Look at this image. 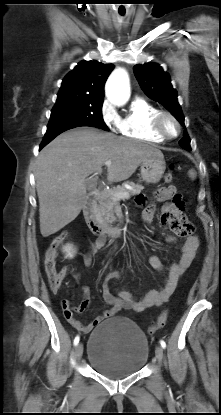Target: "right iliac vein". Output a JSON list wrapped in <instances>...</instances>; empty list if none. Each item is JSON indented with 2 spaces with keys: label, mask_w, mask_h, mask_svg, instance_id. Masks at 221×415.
<instances>
[{
  "label": "right iliac vein",
  "mask_w": 221,
  "mask_h": 415,
  "mask_svg": "<svg viewBox=\"0 0 221 415\" xmlns=\"http://www.w3.org/2000/svg\"><path fill=\"white\" fill-rule=\"evenodd\" d=\"M75 353H76V357L78 359H80L82 357V354H83V344L82 343L77 344V346L75 348Z\"/></svg>",
  "instance_id": "obj_1"
}]
</instances>
